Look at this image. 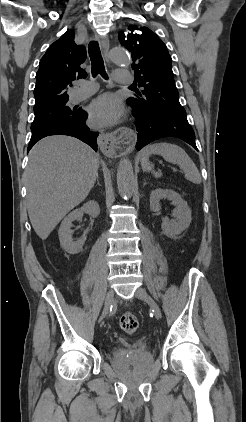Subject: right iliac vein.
Here are the masks:
<instances>
[{"label":"right iliac vein","mask_w":246,"mask_h":422,"mask_svg":"<svg viewBox=\"0 0 246 422\" xmlns=\"http://www.w3.org/2000/svg\"><path fill=\"white\" fill-rule=\"evenodd\" d=\"M115 298H114V292L113 290H109L106 295L104 308L102 310V313L99 318V322L103 321L104 318L108 315L110 308L114 304Z\"/></svg>","instance_id":"obj_1"}]
</instances>
